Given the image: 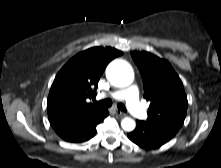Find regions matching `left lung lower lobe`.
<instances>
[{"mask_svg":"<svg viewBox=\"0 0 221 168\" xmlns=\"http://www.w3.org/2000/svg\"><path fill=\"white\" fill-rule=\"evenodd\" d=\"M128 138L140 147L153 149L158 148L171 140L174 134L151 125L146 121H137L136 129L128 133Z\"/></svg>","mask_w":221,"mask_h":168,"instance_id":"0a47b994","label":"left lung lower lobe"}]
</instances>
